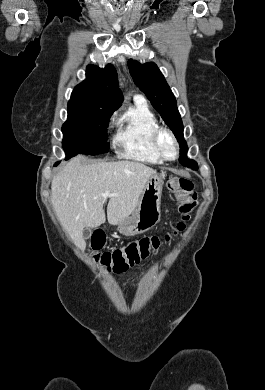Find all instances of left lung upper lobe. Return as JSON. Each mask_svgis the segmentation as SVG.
Masks as SVG:
<instances>
[{
  "instance_id": "1",
  "label": "left lung upper lobe",
  "mask_w": 265,
  "mask_h": 390,
  "mask_svg": "<svg viewBox=\"0 0 265 390\" xmlns=\"http://www.w3.org/2000/svg\"><path fill=\"white\" fill-rule=\"evenodd\" d=\"M128 67L134 83L147 96L155 110L173 131L180 146L179 162L193 170L198 169L196 161L188 159V147L183 136V124L177 109V102L169 85L157 65L153 62L141 64L129 59Z\"/></svg>"
}]
</instances>
